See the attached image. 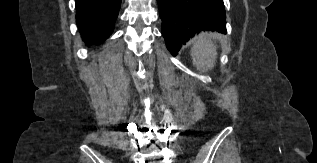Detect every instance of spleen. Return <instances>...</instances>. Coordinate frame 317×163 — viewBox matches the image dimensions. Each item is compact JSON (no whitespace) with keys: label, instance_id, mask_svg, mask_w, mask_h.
Instances as JSON below:
<instances>
[{"label":"spleen","instance_id":"3e777b00","mask_svg":"<svg viewBox=\"0 0 317 163\" xmlns=\"http://www.w3.org/2000/svg\"><path fill=\"white\" fill-rule=\"evenodd\" d=\"M217 48L207 34H201L191 48V57L193 64L200 72H207L215 65L217 57Z\"/></svg>","mask_w":317,"mask_h":163}]
</instances>
